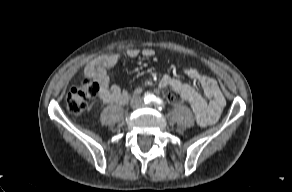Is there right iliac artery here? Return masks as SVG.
Returning <instances> with one entry per match:
<instances>
[{
    "label": "right iliac artery",
    "mask_w": 292,
    "mask_h": 192,
    "mask_svg": "<svg viewBox=\"0 0 292 192\" xmlns=\"http://www.w3.org/2000/svg\"><path fill=\"white\" fill-rule=\"evenodd\" d=\"M154 96L152 94H147L144 97V101L146 104H150L153 101Z\"/></svg>",
    "instance_id": "obj_1"
}]
</instances>
